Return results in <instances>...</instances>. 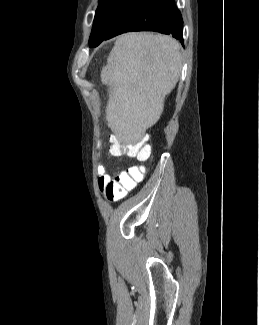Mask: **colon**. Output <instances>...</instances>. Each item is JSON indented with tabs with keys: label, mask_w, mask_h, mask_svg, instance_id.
I'll use <instances>...</instances> for the list:
<instances>
[{
	"label": "colon",
	"mask_w": 259,
	"mask_h": 325,
	"mask_svg": "<svg viewBox=\"0 0 259 325\" xmlns=\"http://www.w3.org/2000/svg\"><path fill=\"white\" fill-rule=\"evenodd\" d=\"M111 152L114 155L124 154L139 160H147L150 157L151 148L150 145L143 140L127 144H122L117 140H113ZM144 171V167L140 166L114 172L100 187L109 200H119L142 180Z\"/></svg>",
	"instance_id": "1"
}]
</instances>
